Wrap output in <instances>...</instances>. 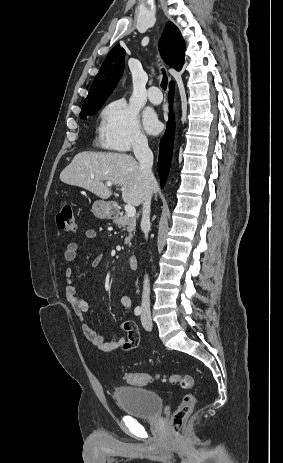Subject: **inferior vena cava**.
<instances>
[{"instance_id":"1","label":"inferior vena cava","mask_w":283,"mask_h":463,"mask_svg":"<svg viewBox=\"0 0 283 463\" xmlns=\"http://www.w3.org/2000/svg\"><path fill=\"white\" fill-rule=\"evenodd\" d=\"M133 152L139 161L140 169L143 176L144 200L142 207L141 229L148 236L150 229V206L153 192V185L156 182L152 173L153 153L148 146L146 137H137L133 143ZM141 308L144 311L150 310V285L148 276H145L142 292Z\"/></svg>"}]
</instances>
